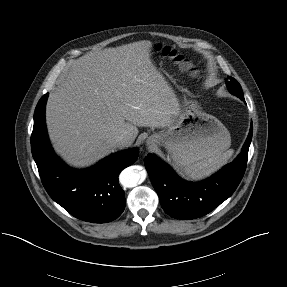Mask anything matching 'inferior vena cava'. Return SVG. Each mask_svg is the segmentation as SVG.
I'll list each match as a JSON object with an SVG mask.
<instances>
[{
    "mask_svg": "<svg viewBox=\"0 0 287 287\" xmlns=\"http://www.w3.org/2000/svg\"><path fill=\"white\" fill-rule=\"evenodd\" d=\"M112 145L116 148L124 147L129 143V139L125 135L115 136L112 141Z\"/></svg>",
    "mask_w": 287,
    "mask_h": 287,
    "instance_id": "1",
    "label": "inferior vena cava"
}]
</instances>
